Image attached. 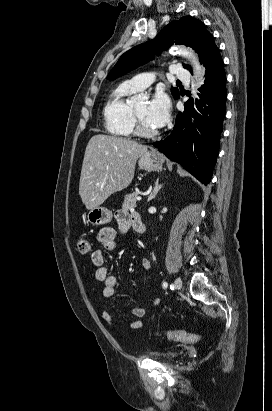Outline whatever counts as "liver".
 I'll list each match as a JSON object with an SVG mask.
<instances>
[{
  "label": "liver",
  "mask_w": 272,
  "mask_h": 411,
  "mask_svg": "<svg viewBox=\"0 0 272 411\" xmlns=\"http://www.w3.org/2000/svg\"><path fill=\"white\" fill-rule=\"evenodd\" d=\"M147 146L130 139L94 135L82 164L79 195L88 210L99 207L115 192L127 188L134 178L137 159Z\"/></svg>",
  "instance_id": "6515ba94"
}]
</instances>
